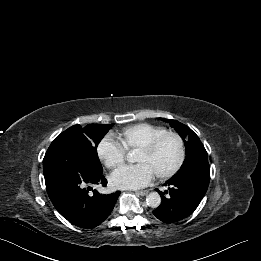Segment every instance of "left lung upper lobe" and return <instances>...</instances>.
Masks as SVG:
<instances>
[{"mask_svg": "<svg viewBox=\"0 0 261 261\" xmlns=\"http://www.w3.org/2000/svg\"><path fill=\"white\" fill-rule=\"evenodd\" d=\"M169 122L182 137L186 149V158L176 175L186 173L196 166L208 162L207 152L198 136L189 127L176 120H169Z\"/></svg>", "mask_w": 261, "mask_h": 261, "instance_id": "obj_1", "label": "left lung upper lobe"}]
</instances>
